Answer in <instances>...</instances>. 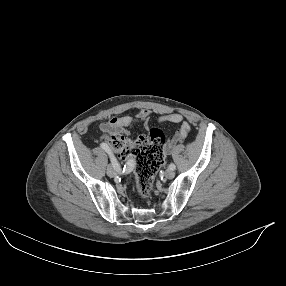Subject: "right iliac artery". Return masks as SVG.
<instances>
[{"instance_id": "right-iliac-artery-1", "label": "right iliac artery", "mask_w": 286, "mask_h": 286, "mask_svg": "<svg viewBox=\"0 0 286 286\" xmlns=\"http://www.w3.org/2000/svg\"><path fill=\"white\" fill-rule=\"evenodd\" d=\"M100 147H101L103 150H105V151L110 155V159H111V163H112L113 167H114L115 169H119V168H120L119 163H118V161L116 160V158L114 157V155L111 153V150H110L109 146H108L106 143L103 142V143L100 144ZM128 163H132V161L129 160V161L127 162V165L124 166L123 171L128 168Z\"/></svg>"}]
</instances>
